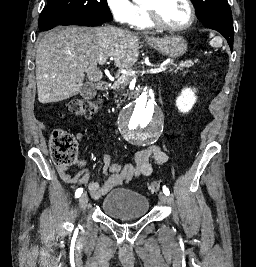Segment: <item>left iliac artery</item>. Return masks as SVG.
I'll list each match as a JSON object with an SVG mask.
<instances>
[{
	"mask_svg": "<svg viewBox=\"0 0 256 267\" xmlns=\"http://www.w3.org/2000/svg\"><path fill=\"white\" fill-rule=\"evenodd\" d=\"M163 193L167 196L170 194V191L166 186H163Z\"/></svg>",
	"mask_w": 256,
	"mask_h": 267,
	"instance_id": "left-iliac-artery-1",
	"label": "left iliac artery"
}]
</instances>
